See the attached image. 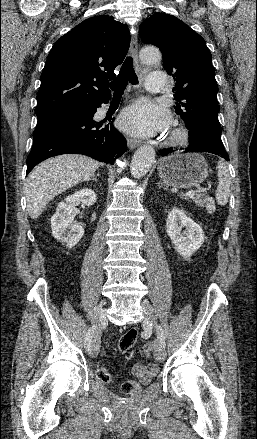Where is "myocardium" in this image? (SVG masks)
I'll return each mask as SVG.
<instances>
[{"instance_id": "1", "label": "myocardium", "mask_w": 257, "mask_h": 439, "mask_svg": "<svg viewBox=\"0 0 257 439\" xmlns=\"http://www.w3.org/2000/svg\"><path fill=\"white\" fill-rule=\"evenodd\" d=\"M188 133L182 127L174 128L168 138L166 139V143L170 146H180L187 142Z\"/></svg>"}]
</instances>
